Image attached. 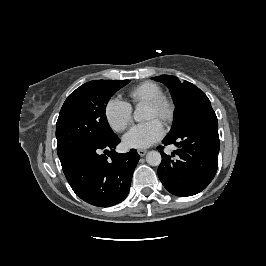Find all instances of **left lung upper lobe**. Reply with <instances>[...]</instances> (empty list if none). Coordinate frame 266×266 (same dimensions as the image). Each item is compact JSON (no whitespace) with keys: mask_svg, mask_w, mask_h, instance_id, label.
<instances>
[{"mask_svg":"<svg viewBox=\"0 0 266 266\" xmlns=\"http://www.w3.org/2000/svg\"><path fill=\"white\" fill-rule=\"evenodd\" d=\"M152 79L168 86L175 102L173 123L167 137L175 136L193 121L214 112L208 97L194 84L181 83L175 76L162 75Z\"/></svg>","mask_w":266,"mask_h":266,"instance_id":"left-lung-upper-lobe-1","label":"left lung upper lobe"}]
</instances>
